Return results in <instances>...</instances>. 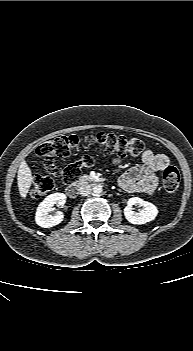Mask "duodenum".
<instances>
[{"label": "duodenum", "instance_id": "duodenum-1", "mask_svg": "<svg viewBox=\"0 0 193 351\" xmlns=\"http://www.w3.org/2000/svg\"><path fill=\"white\" fill-rule=\"evenodd\" d=\"M104 180L98 176H86L83 177L79 182L75 183V184H71L66 188V193L70 198H75L78 193H79V189L81 186H83L86 183H103Z\"/></svg>", "mask_w": 193, "mask_h": 351}]
</instances>
